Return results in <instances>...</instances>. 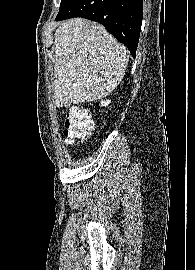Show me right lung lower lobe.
Masks as SVG:
<instances>
[{"mask_svg": "<svg viewBox=\"0 0 195 270\" xmlns=\"http://www.w3.org/2000/svg\"><path fill=\"white\" fill-rule=\"evenodd\" d=\"M142 0H74L57 21L83 17L102 24L135 57L142 24Z\"/></svg>", "mask_w": 195, "mask_h": 270, "instance_id": "obj_1", "label": "right lung lower lobe"}]
</instances>
